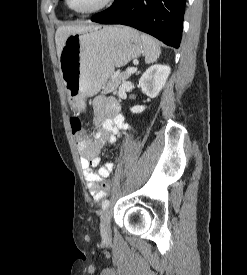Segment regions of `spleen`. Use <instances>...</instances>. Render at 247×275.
Returning a JSON list of instances; mask_svg holds the SVG:
<instances>
[{
  "label": "spleen",
  "mask_w": 247,
  "mask_h": 275,
  "mask_svg": "<svg viewBox=\"0 0 247 275\" xmlns=\"http://www.w3.org/2000/svg\"><path fill=\"white\" fill-rule=\"evenodd\" d=\"M141 40L144 48L145 63H154L161 54L159 44L150 36L146 34L141 35Z\"/></svg>",
  "instance_id": "spleen-1"
}]
</instances>
